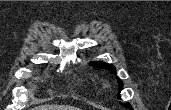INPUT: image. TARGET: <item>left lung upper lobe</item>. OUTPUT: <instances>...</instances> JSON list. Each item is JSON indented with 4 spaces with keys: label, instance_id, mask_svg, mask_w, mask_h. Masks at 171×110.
Wrapping results in <instances>:
<instances>
[{
    "label": "left lung upper lobe",
    "instance_id": "1",
    "mask_svg": "<svg viewBox=\"0 0 171 110\" xmlns=\"http://www.w3.org/2000/svg\"><path fill=\"white\" fill-rule=\"evenodd\" d=\"M91 65H93L94 67L97 68H103V69H107L109 71H111L112 73L116 72V69L113 65H110L108 63H104V62H92ZM118 83H119V93L121 92L122 88H123V83L120 79H118ZM118 98L120 99V96H118ZM124 107L133 110L132 106L129 103H122L120 102Z\"/></svg>",
    "mask_w": 171,
    "mask_h": 110
}]
</instances>
